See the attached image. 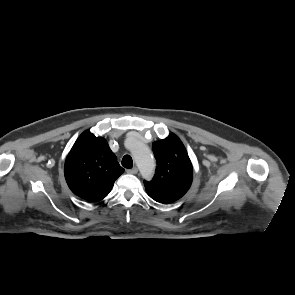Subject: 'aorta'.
<instances>
[{"instance_id": "obj_1", "label": "aorta", "mask_w": 295, "mask_h": 295, "mask_svg": "<svg viewBox=\"0 0 295 295\" xmlns=\"http://www.w3.org/2000/svg\"><path fill=\"white\" fill-rule=\"evenodd\" d=\"M130 151L142 177L150 179L154 172L155 163L149 147L134 140L130 146Z\"/></svg>"}]
</instances>
